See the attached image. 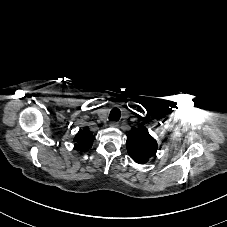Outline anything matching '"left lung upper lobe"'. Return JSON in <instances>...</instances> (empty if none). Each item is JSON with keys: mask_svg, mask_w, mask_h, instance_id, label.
I'll list each match as a JSON object with an SVG mask.
<instances>
[{"mask_svg": "<svg viewBox=\"0 0 227 227\" xmlns=\"http://www.w3.org/2000/svg\"><path fill=\"white\" fill-rule=\"evenodd\" d=\"M130 157L139 164H144L151 159L157 151V142L149 134L145 126L131 129L126 142Z\"/></svg>", "mask_w": 227, "mask_h": 227, "instance_id": "left-lung-upper-lobe-1", "label": "left lung upper lobe"}]
</instances>
